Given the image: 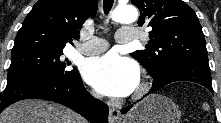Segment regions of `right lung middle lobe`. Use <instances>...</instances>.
I'll list each match as a JSON object with an SVG mask.
<instances>
[{"instance_id":"dd1d6c3e","label":"right lung middle lobe","mask_w":221,"mask_h":123,"mask_svg":"<svg viewBox=\"0 0 221 123\" xmlns=\"http://www.w3.org/2000/svg\"><path fill=\"white\" fill-rule=\"evenodd\" d=\"M62 50L27 49L11 53L8 80L28 75H40L48 79L67 78L78 70L67 69L70 62L62 59Z\"/></svg>"}]
</instances>
